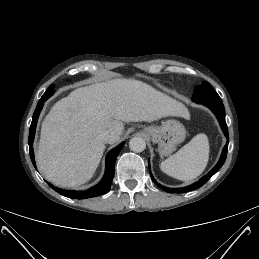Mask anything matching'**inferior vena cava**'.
I'll list each match as a JSON object with an SVG mask.
<instances>
[{
	"label": "inferior vena cava",
	"mask_w": 259,
	"mask_h": 259,
	"mask_svg": "<svg viewBox=\"0 0 259 259\" xmlns=\"http://www.w3.org/2000/svg\"><path fill=\"white\" fill-rule=\"evenodd\" d=\"M109 138H110V133L108 131H104L98 135V139L103 142H108Z\"/></svg>",
	"instance_id": "inferior-vena-cava-1"
}]
</instances>
